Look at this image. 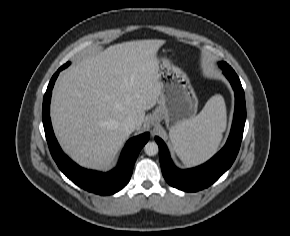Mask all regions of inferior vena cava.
<instances>
[{
    "mask_svg": "<svg viewBox=\"0 0 290 236\" xmlns=\"http://www.w3.org/2000/svg\"><path fill=\"white\" fill-rule=\"evenodd\" d=\"M122 130L128 135L136 129V122L133 118L128 117L121 123Z\"/></svg>",
    "mask_w": 290,
    "mask_h": 236,
    "instance_id": "inferior-vena-cava-1",
    "label": "inferior vena cava"
}]
</instances>
